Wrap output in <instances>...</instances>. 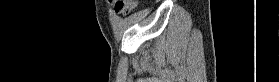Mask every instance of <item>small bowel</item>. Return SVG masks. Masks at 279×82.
<instances>
[{
  "instance_id": "small-bowel-1",
  "label": "small bowel",
  "mask_w": 279,
  "mask_h": 82,
  "mask_svg": "<svg viewBox=\"0 0 279 82\" xmlns=\"http://www.w3.org/2000/svg\"><path fill=\"white\" fill-rule=\"evenodd\" d=\"M113 8L119 14H126V13L130 12L134 8V6L133 7H127L123 4H116V5H113Z\"/></svg>"
}]
</instances>
